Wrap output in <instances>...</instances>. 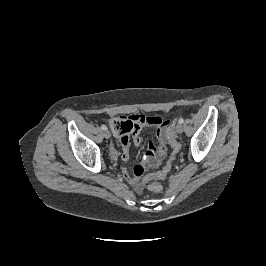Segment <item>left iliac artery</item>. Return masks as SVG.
Listing matches in <instances>:
<instances>
[{
	"label": "left iliac artery",
	"instance_id": "left-iliac-artery-1",
	"mask_svg": "<svg viewBox=\"0 0 266 266\" xmlns=\"http://www.w3.org/2000/svg\"><path fill=\"white\" fill-rule=\"evenodd\" d=\"M178 123H179V124H183V123H184V119H183V118H180V119L178 120Z\"/></svg>",
	"mask_w": 266,
	"mask_h": 266
}]
</instances>
